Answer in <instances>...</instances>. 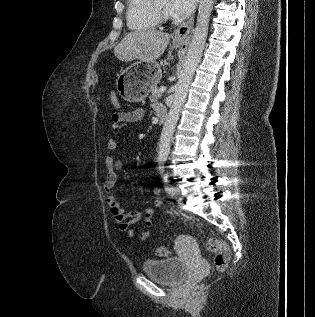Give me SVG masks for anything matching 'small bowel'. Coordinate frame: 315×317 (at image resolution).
Masks as SVG:
<instances>
[{
  "mask_svg": "<svg viewBox=\"0 0 315 317\" xmlns=\"http://www.w3.org/2000/svg\"><path fill=\"white\" fill-rule=\"evenodd\" d=\"M156 111H158L162 106L155 105ZM145 112L141 108L134 109L129 112H116L112 115V130L119 131L124 126L137 123L143 120ZM107 149L115 150L117 147V142L115 138H109L107 141ZM122 167V161L115 159L112 156H107L105 158V181L104 190L107 195V203L113 215L114 221L117 224L119 231L125 233L129 238L135 236L134 225L137 224L142 217H144L145 222L143 225V230L141 231L139 238L142 242L146 241L150 235L153 227L152 217L155 215L156 211L161 208L162 200L160 199L161 189L160 187H154L152 206L145 208L142 212H130L127 213L123 208L120 201L111 194L117 181V171Z\"/></svg>",
  "mask_w": 315,
  "mask_h": 317,
  "instance_id": "small-bowel-1",
  "label": "small bowel"
}]
</instances>
